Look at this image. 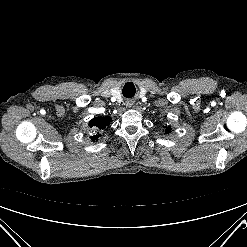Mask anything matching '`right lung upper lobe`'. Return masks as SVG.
<instances>
[{"label":"right lung upper lobe","instance_id":"1","mask_svg":"<svg viewBox=\"0 0 247 247\" xmlns=\"http://www.w3.org/2000/svg\"><path fill=\"white\" fill-rule=\"evenodd\" d=\"M110 121H111L110 117H96L89 122V126L97 130L98 129L102 130L110 124ZM99 137H100V134L98 133V135L91 137V139L93 141H96Z\"/></svg>","mask_w":247,"mask_h":247}]
</instances>
